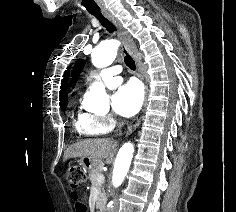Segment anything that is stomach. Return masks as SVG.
<instances>
[{
  "label": "stomach",
  "mask_w": 236,
  "mask_h": 212,
  "mask_svg": "<svg viewBox=\"0 0 236 212\" xmlns=\"http://www.w3.org/2000/svg\"><path fill=\"white\" fill-rule=\"evenodd\" d=\"M100 161L91 157H83L80 159V165L88 172H91L98 167Z\"/></svg>",
  "instance_id": "1"
}]
</instances>
